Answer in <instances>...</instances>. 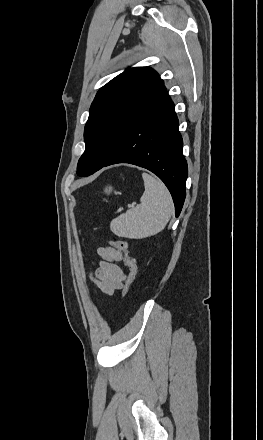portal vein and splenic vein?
<instances>
[{"instance_id": "portal-vein-and-splenic-vein-1", "label": "portal vein and splenic vein", "mask_w": 263, "mask_h": 440, "mask_svg": "<svg viewBox=\"0 0 263 440\" xmlns=\"http://www.w3.org/2000/svg\"><path fill=\"white\" fill-rule=\"evenodd\" d=\"M132 206H134V204L129 205V207H132Z\"/></svg>"}]
</instances>
